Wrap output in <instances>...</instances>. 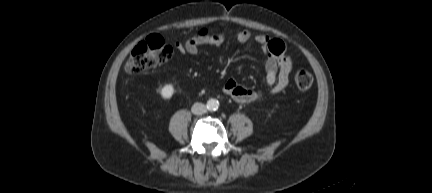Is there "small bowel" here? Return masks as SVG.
I'll return each instance as SVG.
<instances>
[{"instance_id": "small-bowel-1", "label": "small bowel", "mask_w": 432, "mask_h": 193, "mask_svg": "<svg viewBox=\"0 0 432 193\" xmlns=\"http://www.w3.org/2000/svg\"><path fill=\"white\" fill-rule=\"evenodd\" d=\"M250 39H254L267 55L264 77L265 85L270 87V93L272 94L281 92L289 83V75L293 66L292 58L286 54L285 43L282 40L270 38L263 34L252 36L248 30H241L237 33V41L239 43H246ZM222 42L223 35L210 34L208 30L202 29L189 40L176 42L174 47L182 54H197L201 46H219ZM223 91L226 95L241 103L253 102L261 97L259 91L245 88L239 85L234 79L226 81Z\"/></svg>"}]
</instances>
